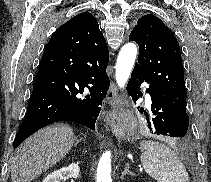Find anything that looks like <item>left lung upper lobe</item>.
Returning <instances> with one entry per match:
<instances>
[{
	"instance_id": "obj_1",
	"label": "left lung upper lobe",
	"mask_w": 211,
	"mask_h": 182,
	"mask_svg": "<svg viewBox=\"0 0 211 182\" xmlns=\"http://www.w3.org/2000/svg\"><path fill=\"white\" fill-rule=\"evenodd\" d=\"M130 41L139 45V70L158 92L186 111L184 72L178 41L156 16L145 15L137 21Z\"/></svg>"
}]
</instances>
